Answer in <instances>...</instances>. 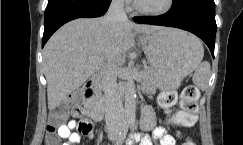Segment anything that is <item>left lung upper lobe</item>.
Wrapping results in <instances>:
<instances>
[{"mask_svg": "<svg viewBox=\"0 0 243 145\" xmlns=\"http://www.w3.org/2000/svg\"><path fill=\"white\" fill-rule=\"evenodd\" d=\"M172 8L188 16L215 17L214 0H173Z\"/></svg>", "mask_w": 243, "mask_h": 145, "instance_id": "1", "label": "left lung upper lobe"}]
</instances>
